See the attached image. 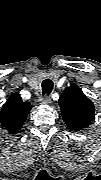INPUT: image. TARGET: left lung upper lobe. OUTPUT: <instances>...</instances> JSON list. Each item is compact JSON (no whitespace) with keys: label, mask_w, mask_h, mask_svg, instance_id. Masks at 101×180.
Instances as JSON below:
<instances>
[{"label":"left lung upper lobe","mask_w":101,"mask_h":180,"mask_svg":"<svg viewBox=\"0 0 101 180\" xmlns=\"http://www.w3.org/2000/svg\"><path fill=\"white\" fill-rule=\"evenodd\" d=\"M59 105L64 122L74 131L87 127L94 117L95 108L92 101L76 84H71L63 91Z\"/></svg>","instance_id":"obj_1"}]
</instances>
